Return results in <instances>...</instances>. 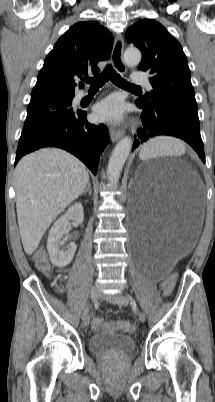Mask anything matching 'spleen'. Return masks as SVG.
<instances>
[{
  "label": "spleen",
  "mask_w": 215,
  "mask_h": 402,
  "mask_svg": "<svg viewBox=\"0 0 215 402\" xmlns=\"http://www.w3.org/2000/svg\"><path fill=\"white\" fill-rule=\"evenodd\" d=\"M183 144L172 138H157L146 144L142 151L141 157H152L162 154H175L183 151Z\"/></svg>",
  "instance_id": "obj_1"
}]
</instances>
